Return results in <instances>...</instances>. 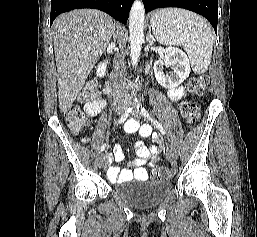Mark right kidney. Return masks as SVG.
<instances>
[{"instance_id": "obj_1", "label": "right kidney", "mask_w": 257, "mask_h": 237, "mask_svg": "<svg viewBox=\"0 0 257 237\" xmlns=\"http://www.w3.org/2000/svg\"><path fill=\"white\" fill-rule=\"evenodd\" d=\"M105 72H106L105 64L104 63H99L98 66H97V69H96L97 77H100V78L104 77Z\"/></svg>"}]
</instances>
